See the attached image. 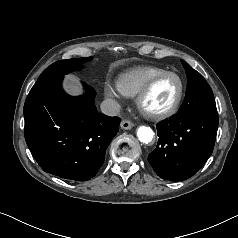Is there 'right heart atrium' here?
<instances>
[{
  "mask_svg": "<svg viewBox=\"0 0 238 238\" xmlns=\"http://www.w3.org/2000/svg\"><path fill=\"white\" fill-rule=\"evenodd\" d=\"M104 93L108 98L120 101L124 94L119 88L118 84L106 82L104 85Z\"/></svg>",
  "mask_w": 238,
  "mask_h": 238,
  "instance_id": "obj_1",
  "label": "right heart atrium"
}]
</instances>
